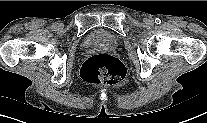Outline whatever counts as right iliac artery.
Returning <instances> with one entry per match:
<instances>
[{
  "label": "right iliac artery",
  "mask_w": 207,
  "mask_h": 123,
  "mask_svg": "<svg viewBox=\"0 0 207 123\" xmlns=\"http://www.w3.org/2000/svg\"><path fill=\"white\" fill-rule=\"evenodd\" d=\"M52 28H53V29H57V28H58V23H54V24L52 25Z\"/></svg>",
  "instance_id": "right-iliac-artery-1"
}]
</instances>
